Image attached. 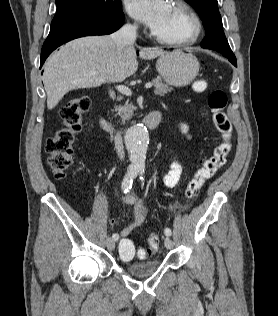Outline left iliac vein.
Segmentation results:
<instances>
[{
    "instance_id": "left-iliac-vein-1",
    "label": "left iliac vein",
    "mask_w": 278,
    "mask_h": 316,
    "mask_svg": "<svg viewBox=\"0 0 278 316\" xmlns=\"http://www.w3.org/2000/svg\"><path fill=\"white\" fill-rule=\"evenodd\" d=\"M164 244H165V247L167 249H172L173 248V241L169 237L165 238Z\"/></svg>"
}]
</instances>
